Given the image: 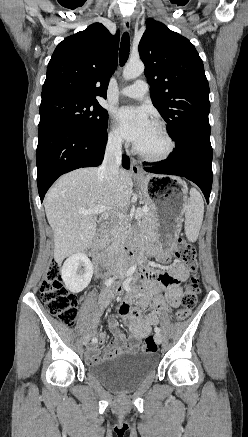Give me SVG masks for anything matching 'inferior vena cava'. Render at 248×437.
Masks as SVG:
<instances>
[{"mask_svg": "<svg viewBox=\"0 0 248 437\" xmlns=\"http://www.w3.org/2000/svg\"><path fill=\"white\" fill-rule=\"evenodd\" d=\"M122 140L120 138H114L108 141L104 160L102 165L98 169V176L103 177L110 187H115L118 182L119 167L122 160ZM118 229H115L117 235Z\"/></svg>", "mask_w": 248, "mask_h": 437, "instance_id": "1", "label": "inferior vena cava"}]
</instances>
